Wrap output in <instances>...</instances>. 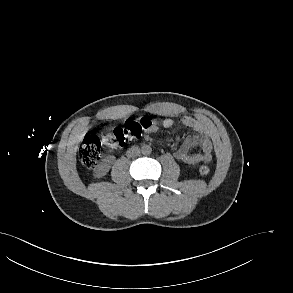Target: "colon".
<instances>
[{"mask_svg": "<svg viewBox=\"0 0 293 293\" xmlns=\"http://www.w3.org/2000/svg\"><path fill=\"white\" fill-rule=\"evenodd\" d=\"M154 122L148 118H131L124 122V125L115 128L111 132L99 137L87 135L79 148V159L83 165L92 168L99 160L102 148L121 147L126 143L139 138L145 131L151 129ZM200 175H207L210 168L206 165L198 170Z\"/></svg>", "mask_w": 293, "mask_h": 293, "instance_id": "colon-1", "label": "colon"}]
</instances>
